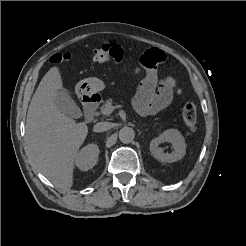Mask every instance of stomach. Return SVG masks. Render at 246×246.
Wrapping results in <instances>:
<instances>
[{"label": "stomach", "instance_id": "1", "mask_svg": "<svg viewBox=\"0 0 246 246\" xmlns=\"http://www.w3.org/2000/svg\"><path fill=\"white\" fill-rule=\"evenodd\" d=\"M105 88L104 82L98 78L90 77L79 81L76 91L81 96L90 97Z\"/></svg>", "mask_w": 246, "mask_h": 246}]
</instances>
